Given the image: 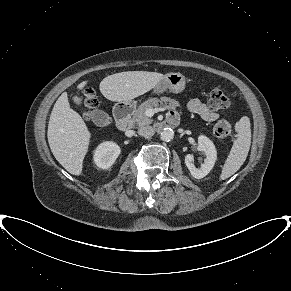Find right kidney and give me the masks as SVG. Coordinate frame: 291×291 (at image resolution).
I'll use <instances>...</instances> for the list:
<instances>
[{"label":"right kidney","instance_id":"obj_1","mask_svg":"<svg viewBox=\"0 0 291 291\" xmlns=\"http://www.w3.org/2000/svg\"><path fill=\"white\" fill-rule=\"evenodd\" d=\"M120 147L114 142H103L94 152V162L101 169L113 165L120 154Z\"/></svg>","mask_w":291,"mask_h":291}]
</instances>
